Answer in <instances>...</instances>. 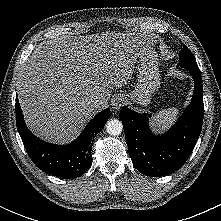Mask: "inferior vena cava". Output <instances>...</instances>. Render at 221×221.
Masks as SVG:
<instances>
[{
  "instance_id": "602c4592",
  "label": "inferior vena cava",
  "mask_w": 221,
  "mask_h": 221,
  "mask_svg": "<svg viewBox=\"0 0 221 221\" xmlns=\"http://www.w3.org/2000/svg\"><path fill=\"white\" fill-rule=\"evenodd\" d=\"M100 105H101V101L98 98L91 100V102H90V106L93 108H98Z\"/></svg>"
}]
</instances>
